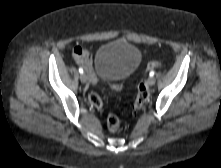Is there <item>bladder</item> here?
<instances>
[{
	"instance_id": "bladder-1",
	"label": "bladder",
	"mask_w": 221,
	"mask_h": 168,
	"mask_svg": "<svg viewBox=\"0 0 221 168\" xmlns=\"http://www.w3.org/2000/svg\"><path fill=\"white\" fill-rule=\"evenodd\" d=\"M141 62V52L125 40L100 46L95 54V69L102 80H121L130 76Z\"/></svg>"
}]
</instances>
